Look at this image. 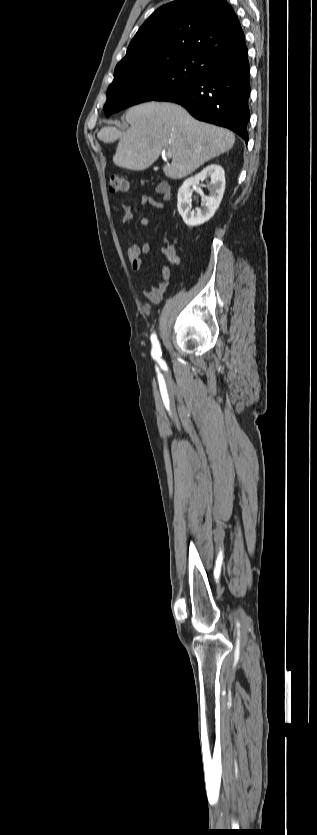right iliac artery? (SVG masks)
Segmentation results:
<instances>
[{
	"instance_id": "obj_1",
	"label": "right iliac artery",
	"mask_w": 317,
	"mask_h": 835,
	"mask_svg": "<svg viewBox=\"0 0 317 835\" xmlns=\"http://www.w3.org/2000/svg\"><path fill=\"white\" fill-rule=\"evenodd\" d=\"M151 341H152V345H153L152 356H153V358H159L160 355H161V350H160L159 342H158L157 337H156L155 334H152Z\"/></svg>"
}]
</instances>
